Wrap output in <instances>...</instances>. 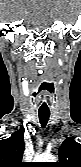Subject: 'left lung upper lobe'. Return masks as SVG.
Segmentation results:
<instances>
[{"instance_id": "5c2ea615", "label": "left lung upper lobe", "mask_w": 81, "mask_h": 167, "mask_svg": "<svg viewBox=\"0 0 81 167\" xmlns=\"http://www.w3.org/2000/svg\"><path fill=\"white\" fill-rule=\"evenodd\" d=\"M59 162L54 167H81V145L68 137L59 148Z\"/></svg>"}]
</instances>
